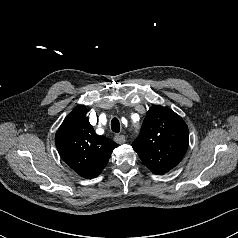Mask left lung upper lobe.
<instances>
[{
    "instance_id": "obj_1",
    "label": "left lung upper lobe",
    "mask_w": 238,
    "mask_h": 238,
    "mask_svg": "<svg viewBox=\"0 0 238 238\" xmlns=\"http://www.w3.org/2000/svg\"><path fill=\"white\" fill-rule=\"evenodd\" d=\"M188 141L189 132L184 120L169 108L153 105L132 147L152 173L161 175L179 164Z\"/></svg>"
}]
</instances>
